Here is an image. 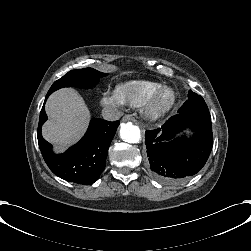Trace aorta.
I'll list each match as a JSON object with an SVG mask.
<instances>
[{"instance_id":"aorta-1","label":"aorta","mask_w":251,"mask_h":251,"mask_svg":"<svg viewBox=\"0 0 251 251\" xmlns=\"http://www.w3.org/2000/svg\"><path fill=\"white\" fill-rule=\"evenodd\" d=\"M120 136L127 143H139L141 139L139 127L131 122L121 124Z\"/></svg>"}]
</instances>
